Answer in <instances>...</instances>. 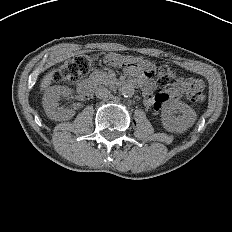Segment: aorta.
Masks as SVG:
<instances>
[{"label":"aorta","mask_w":232,"mask_h":232,"mask_svg":"<svg viewBox=\"0 0 232 232\" xmlns=\"http://www.w3.org/2000/svg\"><path fill=\"white\" fill-rule=\"evenodd\" d=\"M119 92L123 97L130 98L134 95L135 89L133 85L125 84L120 88Z\"/></svg>","instance_id":"762f6f07"}]
</instances>
